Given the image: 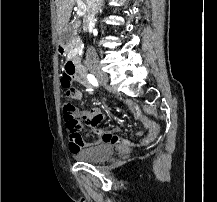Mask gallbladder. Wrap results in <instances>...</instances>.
Listing matches in <instances>:
<instances>
[{"mask_svg":"<svg viewBox=\"0 0 217 202\" xmlns=\"http://www.w3.org/2000/svg\"><path fill=\"white\" fill-rule=\"evenodd\" d=\"M73 38H75V34H73L72 30H65V32L59 36L62 46H67V44H70Z\"/></svg>","mask_w":217,"mask_h":202,"instance_id":"bac80fb5","label":"gallbladder"}]
</instances>
